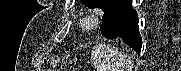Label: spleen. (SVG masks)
Instances as JSON below:
<instances>
[{"instance_id":"obj_1","label":"spleen","mask_w":181,"mask_h":71,"mask_svg":"<svg viewBox=\"0 0 181 71\" xmlns=\"http://www.w3.org/2000/svg\"><path fill=\"white\" fill-rule=\"evenodd\" d=\"M91 60L97 71H132L133 67L129 57L107 44L95 46Z\"/></svg>"}]
</instances>
